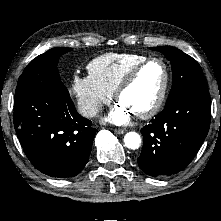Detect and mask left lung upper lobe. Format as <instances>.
Wrapping results in <instances>:
<instances>
[{
    "instance_id": "5c2ea615",
    "label": "left lung upper lobe",
    "mask_w": 221,
    "mask_h": 221,
    "mask_svg": "<svg viewBox=\"0 0 221 221\" xmlns=\"http://www.w3.org/2000/svg\"><path fill=\"white\" fill-rule=\"evenodd\" d=\"M151 49L163 53L171 62L173 84L165 107L190 91L207 88L203 71L191 56L172 46Z\"/></svg>"
}]
</instances>
